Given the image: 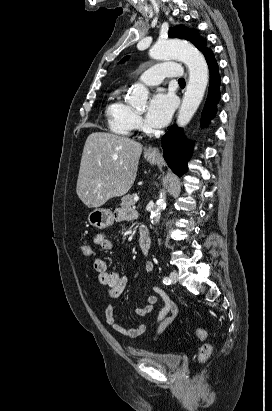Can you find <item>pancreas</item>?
<instances>
[{
	"mask_svg": "<svg viewBox=\"0 0 272 411\" xmlns=\"http://www.w3.org/2000/svg\"><path fill=\"white\" fill-rule=\"evenodd\" d=\"M134 197H135L134 194L125 195V196L121 199L120 208H118L117 211H118V210L129 209L131 206H133V205L135 204Z\"/></svg>",
	"mask_w": 272,
	"mask_h": 411,
	"instance_id": "cf45deb5",
	"label": "pancreas"
}]
</instances>
